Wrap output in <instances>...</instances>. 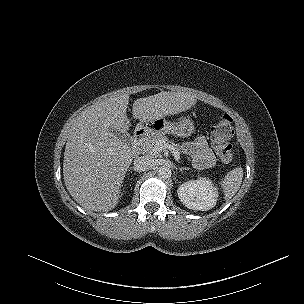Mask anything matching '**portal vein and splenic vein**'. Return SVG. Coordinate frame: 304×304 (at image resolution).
<instances>
[{
  "label": "portal vein and splenic vein",
  "instance_id": "obj_1",
  "mask_svg": "<svg viewBox=\"0 0 304 304\" xmlns=\"http://www.w3.org/2000/svg\"><path fill=\"white\" fill-rule=\"evenodd\" d=\"M166 148H170V146L165 141H160L156 143L151 152L153 154H158L160 151L165 150ZM172 153L176 159L179 158V153L174 148H172Z\"/></svg>",
  "mask_w": 304,
  "mask_h": 304
}]
</instances>
